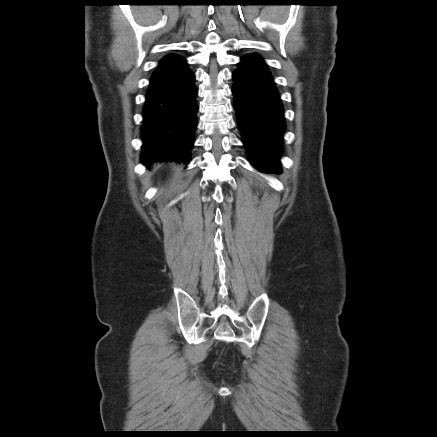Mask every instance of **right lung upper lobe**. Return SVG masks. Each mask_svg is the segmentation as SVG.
Returning a JSON list of instances; mask_svg holds the SVG:
<instances>
[{"instance_id":"cb5924a9","label":"right lung upper lobe","mask_w":437,"mask_h":437,"mask_svg":"<svg viewBox=\"0 0 437 437\" xmlns=\"http://www.w3.org/2000/svg\"><path fill=\"white\" fill-rule=\"evenodd\" d=\"M177 57H178V56L175 55V54H169V55L165 56V57L161 60L160 64H162V63H166V62H169V61H171V60H173V59H175V58H177Z\"/></svg>"}]
</instances>
